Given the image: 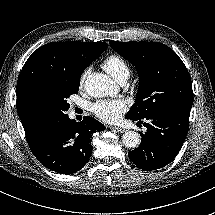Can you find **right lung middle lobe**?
<instances>
[{
  "label": "right lung middle lobe",
  "mask_w": 215,
  "mask_h": 215,
  "mask_svg": "<svg viewBox=\"0 0 215 215\" xmlns=\"http://www.w3.org/2000/svg\"><path fill=\"white\" fill-rule=\"evenodd\" d=\"M79 84V80H62L53 86L34 88L27 97V106L35 120L46 125L65 118L70 107L67 99L78 93Z\"/></svg>",
  "instance_id": "1"
}]
</instances>
